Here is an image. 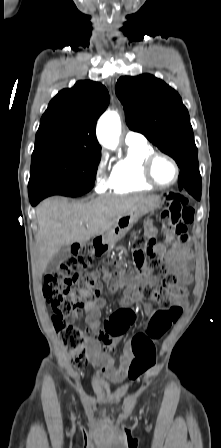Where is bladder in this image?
I'll return each mask as SVG.
<instances>
[{"label":"bladder","instance_id":"1","mask_svg":"<svg viewBox=\"0 0 221 448\" xmlns=\"http://www.w3.org/2000/svg\"><path fill=\"white\" fill-rule=\"evenodd\" d=\"M93 383L98 385V386H103L105 384V382L103 380L98 379V378H94L93 379Z\"/></svg>","mask_w":221,"mask_h":448}]
</instances>
